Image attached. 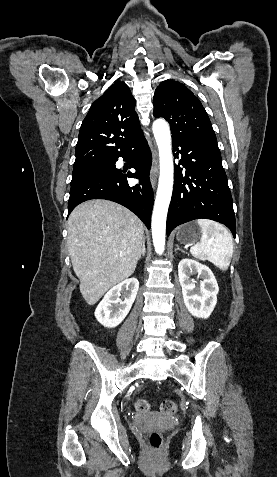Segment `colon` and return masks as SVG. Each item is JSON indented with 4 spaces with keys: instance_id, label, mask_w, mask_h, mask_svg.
<instances>
[{
    "instance_id": "1",
    "label": "colon",
    "mask_w": 277,
    "mask_h": 477,
    "mask_svg": "<svg viewBox=\"0 0 277 477\" xmlns=\"http://www.w3.org/2000/svg\"><path fill=\"white\" fill-rule=\"evenodd\" d=\"M135 408L141 413H146L150 410L151 404L148 400L138 399L135 402ZM177 410V404L174 401L166 400L161 404V411L164 414H173ZM162 434L153 430L147 434V442L152 449H159L162 445Z\"/></svg>"
}]
</instances>
